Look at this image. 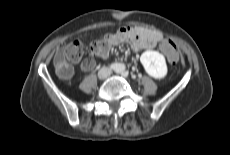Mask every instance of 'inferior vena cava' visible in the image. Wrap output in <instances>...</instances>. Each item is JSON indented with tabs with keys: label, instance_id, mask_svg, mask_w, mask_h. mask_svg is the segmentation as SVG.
Instances as JSON below:
<instances>
[{
	"label": "inferior vena cava",
	"instance_id": "obj_1",
	"mask_svg": "<svg viewBox=\"0 0 230 155\" xmlns=\"http://www.w3.org/2000/svg\"><path fill=\"white\" fill-rule=\"evenodd\" d=\"M112 73L111 69L109 68H104V69H101L99 71V77L101 78H107L108 76H110Z\"/></svg>",
	"mask_w": 230,
	"mask_h": 155
}]
</instances>
